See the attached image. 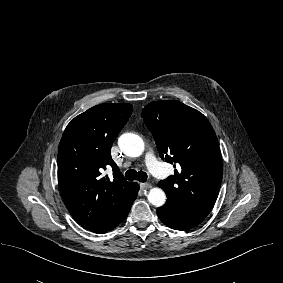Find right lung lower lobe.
Returning <instances> with one entry per match:
<instances>
[{
	"label": "right lung lower lobe",
	"instance_id": "1",
	"mask_svg": "<svg viewBox=\"0 0 283 283\" xmlns=\"http://www.w3.org/2000/svg\"><path fill=\"white\" fill-rule=\"evenodd\" d=\"M138 190H139V188H138ZM136 197H137V196H136ZM135 199H136V198H135ZM130 208H131V206L126 210V212L119 218V220H118L116 223H114L112 226H110V227L107 228L106 230L101 231V232H99V233H104V232H106V231H108V230L114 228V227H115L117 224H119L120 222H122V221L127 217L128 213H129V211H130Z\"/></svg>",
	"mask_w": 283,
	"mask_h": 283
}]
</instances>
